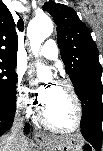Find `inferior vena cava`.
<instances>
[{
    "mask_svg": "<svg viewBox=\"0 0 103 151\" xmlns=\"http://www.w3.org/2000/svg\"><path fill=\"white\" fill-rule=\"evenodd\" d=\"M17 116L18 117L15 118L14 126L12 128V133H11L12 136L21 134L20 130L22 128L23 119L20 117L19 113H17Z\"/></svg>",
    "mask_w": 103,
    "mask_h": 151,
    "instance_id": "inferior-vena-cava-1",
    "label": "inferior vena cava"
}]
</instances>
